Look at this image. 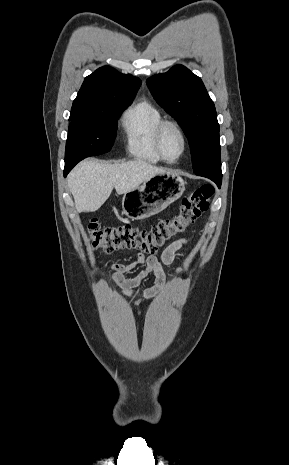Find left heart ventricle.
Listing matches in <instances>:
<instances>
[{
  "label": "left heart ventricle",
  "mask_w": 289,
  "mask_h": 465,
  "mask_svg": "<svg viewBox=\"0 0 289 465\" xmlns=\"http://www.w3.org/2000/svg\"><path fill=\"white\" fill-rule=\"evenodd\" d=\"M182 151V140L178 132L170 127L164 137V152L170 159H175Z\"/></svg>",
  "instance_id": "1"
}]
</instances>
